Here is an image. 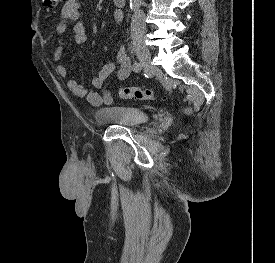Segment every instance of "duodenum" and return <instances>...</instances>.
Returning a JSON list of instances; mask_svg holds the SVG:
<instances>
[{
    "label": "duodenum",
    "instance_id": "duodenum-1",
    "mask_svg": "<svg viewBox=\"0 0 275 263\" xmlns=\"http://www.w3.org/2000/svg\"><path fill=\"white\" fill-rule=\"evenodd\" d=\"M127 0H114V3L118 6V7H124L126 5Z\"/></svg>",
    "mask_w": 275,
    "mask_h": 263
}]
</instances>
